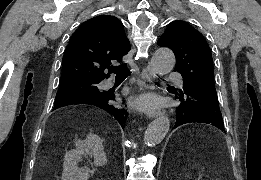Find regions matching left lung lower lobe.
Segmentation results:
<instances>
[{"mask_svg":"<svg viewBox=\"0 0 261 180\" xmlns=\"http://www.w3.org/2000/svg\"><path fill=\"white\" fill-rule=\"evenodd\" d=\"M174 128L191 122L211 124L224 131L217 95L204 91L197 83L183 79V90L177 93Z\"/></svg>","mask_w":261,"mask_h":180,"instance_id":"0a47b994","label":"left lung lower lobe"}]
</instances>
